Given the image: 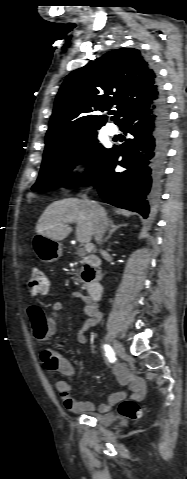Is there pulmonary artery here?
I'll return each instance as SVG.
<instances>
[{
    "label": "pulmonary artery",
    "mask_w": 187,
    "mask_h": 479,
    "mask_svg": "<svg viewBox=\"0 0 187 479\" xmlns=\"http://www.w3.org/2000/svg\"><path fill=\"white\" fill-rule=\"evenodd\" d=\"M106 131L109 135L114 136V135L117 134L118 129L115 125L110 124V125L107 126Z\"/></svg>",
    "instance_id": "pulmonary-artery-1"
}]
</instances>
